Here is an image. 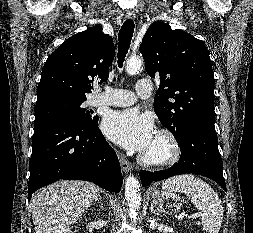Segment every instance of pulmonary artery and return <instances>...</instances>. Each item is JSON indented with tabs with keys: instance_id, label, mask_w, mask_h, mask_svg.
Masks as SVG:
<instances>
[{
	"instance_id": "pulmonary-artery-1",
	"label": "pulmonary artery",
	"mask_w": 253,
	"mask_h": 233,
	"mask_svg": "<svg viewBox=\"0 0 253 233\" xmlns=\"http://www.w3.org/2000/svg\"><path fill=\"white\" fill-rule=\"evenodd\" d=\"M152 93V83L148 79H140L136 85L135 92L124 89L107 87L105 91L94 100V105L107 106H130L137 101V98H147Z\"/></svg>"
}]
</instances>
